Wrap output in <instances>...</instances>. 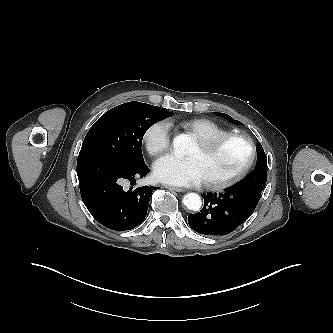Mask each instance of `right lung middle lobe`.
Instances as JSON below:
<instances>
[{
  "label": "right lung middle lobe",
  "mask_w": 333,
  "mask_h": 333,
  "mask_svg": "<svg viewBox=\"0 0 333 333\" xmlns=\"http://www.w3.org/2000/svg\"><path fill=\"white\" fill-rule=\"evenodd\" d=\"M160 107L128 102L102 115L88 131L78 159L106 156L132 165L144 162L141 144L145 132L154 123L171 117Z\"/></svg>",
  "instance_id": "1"
}]
</instances>
